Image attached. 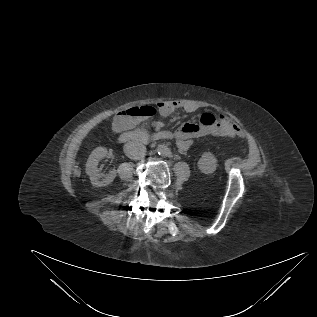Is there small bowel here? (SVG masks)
Masks as SVG:
<instances>
[{
    "label": "small bowel",
    "instance_id": "small-bowel-1",
    "mask_svg": "<svg viewBox=\"0 0 317 317\" xmlns=\"http://www.w3.org/2000/svg\"><path fill=\"white\" fill-rule=\"evenodd\" d=\"M159 113L162 116H169L175 111L193 113L197 106L190 101H160L158 104ZM136 120L125 118L121 124L125 128L134 126ZM240 128L233 124L226 116L221 115L217 120L211 113H204L200 123L182 124L175 132V140L180 150L189 149L191 139L204 135L234 136L240 132Z\"/></svg>",
    "mask_w": 317,
    "mask_h": 317
}]
</instances>
